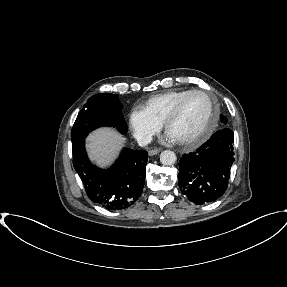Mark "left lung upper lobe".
Listing matches in <instances>:
<instances>
[{"mask_svg": "<svg viewBox=\"0 0 287 287\" xmlns=\"http://www.w3.org/2000/svg\"><path fill=\"white\" fill-rule=\"evenodd\" d=\"M221 121H222V122H224V123H226V122H227V120H226V118H225V117H222V118H221Z\"/></svg>", "mask_w": 287, "mask_h": 287, "instance_id": "left-lung-upper-lobe-1", "label": "left lung upper lobe"}]
</instances>
